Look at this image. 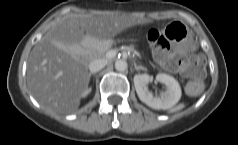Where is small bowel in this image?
Listing matches in <instances>:
<instances>
[{
    "label": "small bowel",
    "mask_w": 238,
    "mask_h": 145,
    "mask_svg": "<svg viewBox=\"0 0 238 145\" xmlns=\"http://www.w3.org/2000/svg\"><path fill=\"white\" fill-rule=\"evenodd\" d=\"M154 55H155V57H156L155 51H154ZM156 58H157V57H156Z\"/></svg>",
    "instance_id": "small-bowel-1"
}]
</instances>
